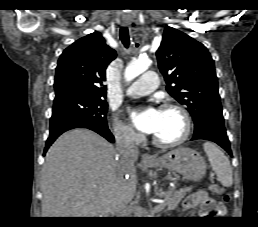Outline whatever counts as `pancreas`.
<instances>
[{
    "label": "pancreas",
    "instance_id": "1",
    "mask_svg": "<svg viewBox=\"0 0 258 227\" xmlns=\"http://www.w3.org/2000/svg\"><path fill=\"white\" fill-rule=\"evenodd\" d=\"M193 190L192 186L181 188L180 190H176L170 194V196L167 199V202L165 203L166 209L164 210V213H168L172 210H174L178 204L181 202V200L186 196L187 193L191 192ZM164 207V208H165ZM129 213L138 214L137 209L133 208L130 209Z\"/></svg>",
    "mask_w": 258,
    "mask_h": 227
}]
</instances>
